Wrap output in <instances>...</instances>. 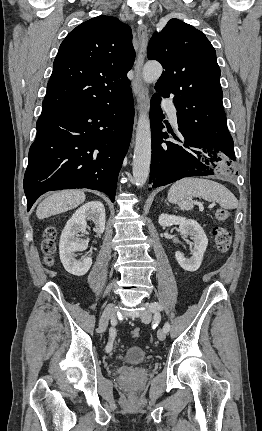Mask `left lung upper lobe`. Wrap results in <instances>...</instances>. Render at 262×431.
<instances>
[{
	"instance_id": "obj_1",
	"label": "left lung upper lobe",
	"mask_w": 262,
	"mask_h": 431,
	"mask_svg": "<svg viewBox=\"0 0 262 431\" xmlns=\"http://www.w3.org/2000/svg\"><path fill=\"white\" fill-rule=\"evenodd\" d=\"M148 59L165 71L156 95L173 97L179 130L206 140L229 134L223 109L220 68L207 37L179 19H171L148 45Z\"/></svg>"
}]
</instances>
